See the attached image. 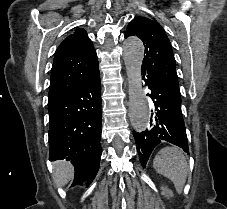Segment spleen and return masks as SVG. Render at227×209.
Listing matches in <instances>:
<instances>
[{
	"label": "spleen",
	"instance_id": "obj_1",
	"mask_svg": "<svg viewBox=\"0 0 227 209\" xmlns=\"http://www.w3.org/2000/svg\"><path fill=\"white\" fill-rule=\"evenodd\" d=\"M153 167L157 173L172 181L177 193L181 195L186 183L188 165L178 147H164L157 153Z\"/></svg>",
	"mask_w": 227,
	"mask_h": 209
}]
</instances>
